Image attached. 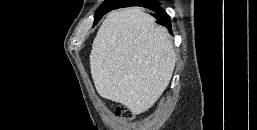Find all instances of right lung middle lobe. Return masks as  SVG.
I'll list each match as a JSON object with an SVG mask.
<instances>
[{"label":"right lung middle lobe","instance_id":"right-lung-middle-lobe-1","mask_svg":"<svg viewBox=\"0 0 257 130\" xmlns=\"http://www.w3.org/2000/svg\"><path fill=\"white\" fill-rule=\"evenodd\" d=\"M124 0H105L95 13V22L97 23L101 17L111 9L121 8L125 5Z\"/></svg>","mask_w":257,"mask_h":130}]
</instances>
